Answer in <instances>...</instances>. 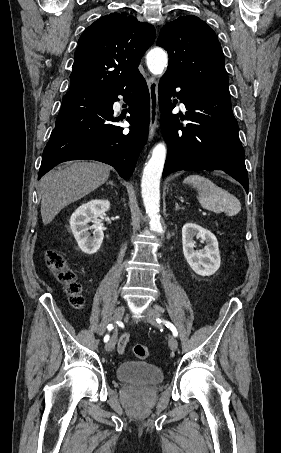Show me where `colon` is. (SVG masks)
Segmentation results:
<instances>
[{
	"label": "colon",
	"instance_id": "colon-1",
	"mask_svg": "<svg viewBox=\"0 0 281 453\" xmlns=\"http://www.w3.org/2000/svg\"><path fill=\"white\" fill-rule=\"evenodd\" d=\"M46 264L55 275L56 279L65 284L66 291L70 295L71 302L75 306H80L83 303V295L81 294V283L77 279L76 270L66 265L65 258L61 253L53 248L45 250ZM134 353L138 359L149 360L151 352L148 348L136 346Z\"/></svg>",
	"mask_w": 281,
	"mask_h": 453
}]
</instances>
